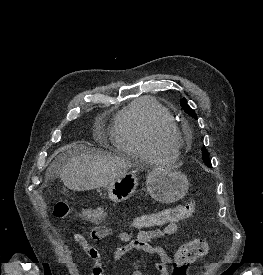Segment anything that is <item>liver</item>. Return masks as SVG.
Wrapping results in <instances>:
<instances>
[{"instance_id": "1", "label": "liver", "mask_w": 263, "mask_h": 275, "mask_svg": "<svg viewBox=\"0 0 263 275\" xmlns=\"http://www.w3.org/2000/svg\"><path fill=\"white\" fill-rule=\"evenodd\" d=\"M134 166L125 158L84 152L68 158L58 174L68 189L86 191L108 186Z\"/></svg>"}]
</instances>
